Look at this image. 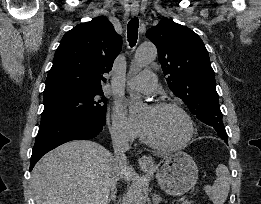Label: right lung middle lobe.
I'll use <instances>...</instances> for the list:
<instances>
[{"label":"right lung middle lobe","mask_w":261,"mask_h":204,"mask_svg":"<svg viewBox=\"0 0 261 204\" xmlns=\"http://www.w3.org/2000/svg\"><path fill=\"white\" fill-rule=\"evenodd\" d=\"M41 119L67 114L105 117L107 102L102 90H61L44 94Z\"/></svg>","instance_id":"obj_1"}]
</instances>
